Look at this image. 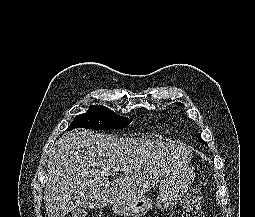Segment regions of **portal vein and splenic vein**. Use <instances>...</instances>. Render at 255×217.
Returning a JSON list of instances; mask_svg holds the SVG:
<instances>
[{"label":"portal vein and splenic vein","instance_id":"obj_1","mask_svg":"<svg viewBox=\"0 0 255 217\" xmlns=\"http://www.w3.org/2000/svg\"><path fill=\"white\" fill-rule=\"evenodd\" d=\"M119 170H121L120 167H114L112 172H104L102 174L110 175V174H113L114 172H118Z\"/></svg>","mask_w":255,"mask_h":217}]
</instances>
